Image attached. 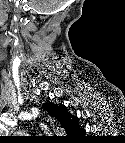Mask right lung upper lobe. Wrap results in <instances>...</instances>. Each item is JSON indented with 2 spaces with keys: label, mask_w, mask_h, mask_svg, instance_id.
<instances>
[{
  "label": "right lung upper lobe",
  "mask_w": 125,
  "mask_h": 143,
  "mask_svg": "<svg viewBox=\"0 0 125 143\" xmlns=\"http://www.w3.org/2000/svg\"><path fill=\"white\" fill-rule=\"evenodd\" d=\"M45 111H47L51 116L57 119L61 126L65 129L68 136L79 135L84 132L78 124V118L72 116L66 109L65 106L53 105L51 103H46L43 105Z\"/></svg>",
  "instance_id": "1"
}]
</instances>
